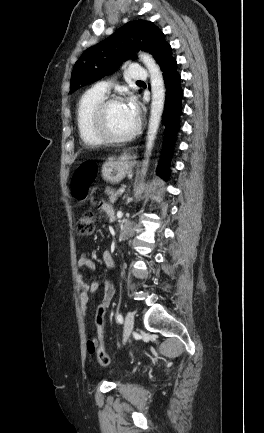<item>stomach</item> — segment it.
<instances>
[{"instance_id":"0dacf381","label":"stomach","mask_w":264,"mask_h":433,"mask_svg":"<svg viewBox=\"0 0 264 433\" xmlns=\"http://www.w3.org/2000/svg\"><path fill=\"white\" fill-rule=\"evenodd\" d=\"M134 157L123 153L119 158L109 157L102 165V177L111 184L120 183L126 175L132 172Z\"/></svg>"}]
</instances>
